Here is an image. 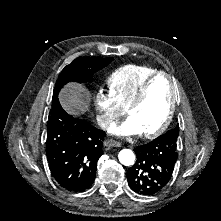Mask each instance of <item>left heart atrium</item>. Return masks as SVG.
<instances>
[{"instance_id": "obj_1", "label": "left heart atrium", "mask_w": 221, "mask_h": 221, "mask_svg": "<svg viewBox=\"0 0 221 221\" xmlns=\"http://www.w3.org/2000/svg\"><path fill=\"white\" fill-rule=\"evenodd\" d=\"M111 132L117 136H128L131 134H139V129L135 124L129 120L122 125H114L111 129Z\"/></svg>"}]
</instances>
